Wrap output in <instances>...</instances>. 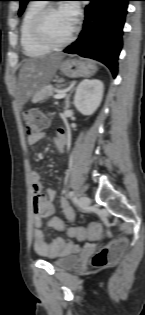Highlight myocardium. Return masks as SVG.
Masks as SVG:
<instances>
[{
  "instance_id": "1",
  "label": "myocardium",
  "mask_w": 145,
  "mask_h": 315,
  "mask_svg": "<svg viewBox=\"0 0 145 315\" xmlns=\"http://www.w3.org/2000/svg\"><path fill=\"white\" fill-rule=\"evenodd\" d=\"M59 9L54 4H48L45 5L33 18L31 23V34L33 39L40 45L44 46L45 48L49 50L59 49L63 48L66 45H68L74 38L76 33V26H73V29L71 33L62 41L60 42H54L51 41L49 38H47L45 32H44V21L45 18L49 13H51L54 10Z\"/></svg>"
}]
</instances>
